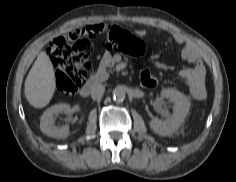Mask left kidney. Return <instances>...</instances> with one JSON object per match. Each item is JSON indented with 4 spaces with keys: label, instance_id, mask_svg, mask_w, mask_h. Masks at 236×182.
I'll return each instance as SVG.
<instances>
[{
    "label": "left kidney",
    "instance_id": "left-kidney-1",
    "mask_svg": "<svg viewBox=\"0 0 236 182\" xmlns=\"http://www.w3.org/2000/svg\"><path fill=\"white\" fill-rule=\"evenodd\" d=\"M161 97L173 103V113L164 120L155 118L150 121L149 125L156 134L171 136L183 124L190 109V102L184 94L173 88L162 90Z\"/></svg>",
    "mask_w": 236,
    "mask_h": 182
}]
</instances>
